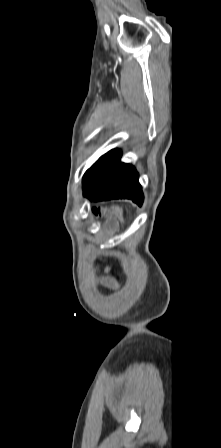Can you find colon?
<instances>
[{"label":"colon","mask_w":221,"mask_h":448,"mask_svg":"<svg viewBox=\"0 0 221 448\" xmlns=\"http://www.w3.org/2000/svg\"><path fill=\"white\" fill-rule=\"evenodd\" d=\"M117 215H118V216H120V213H119V212H117Z\"/></svg>","instance_id":"colon-1"}]
</instances>
